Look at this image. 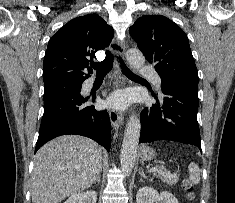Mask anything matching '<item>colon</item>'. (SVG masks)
Segmentation results:
<instances>
[{
	"mask_svg": "<svg viewBox=\"0 0 235 203\" xmlns=\"http://www.w3.org/2000/svg\"><path fill=\"white\" fill-rule=\"evenodd\" d=\"M185 188L189 193V196L192 197V185L189 182L185 183Z\"/></svg>",
	"mask_w": 235,
	"mask_h": 203,
	"instance_id": "1",
	"label": "colon"
}]
</instances>
